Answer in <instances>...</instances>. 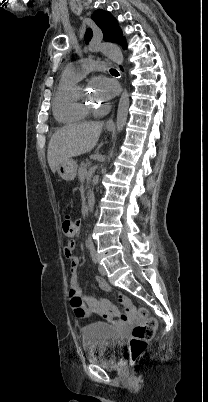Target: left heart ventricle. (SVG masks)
Returning <instances> with one entry per match:
<instances>
[{
  "instance_id": "1",
  "label": "left heart ventricle",
  "mask_w": 208,
  "mask_h": 402,
  "mask_svg": "<svg viewBox=\"0 0 208 402\" xmlns=\"http://www.w3.org/2000/svg\"><path fill=\"white\" fill-rule=\"evenodd\" d=\"M101 94L99 95V96H97V97H93V98H91V97H87L86 95H85V101L86 102H95V101H100L101 100Z\"/></svg>"
}]
</instances>
